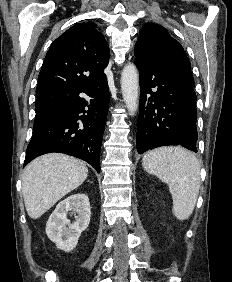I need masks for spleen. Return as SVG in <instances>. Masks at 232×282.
Returning a JSON list of instances; mask_svg holds the SVG:
<instances>
[{
    "mask_svg": "<svg viewBox=\"0 0 232 282\" xmlns=\"http://www.w3.org/2000/svg\"><path fill=\"white\" fill-rule=\"evenodd\" d=\"M143 168L168 184L177 219L185 220L193 212L200 186L197 158L180 147L158 148L142 159Z\"/></svg>",
    "mask_w": 232,
    "mask_h": 282,
    "instance_id": "obj_1",
    "label": "spleen"
}]
</instances>
